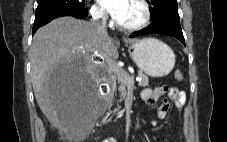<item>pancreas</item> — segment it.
<instances>
[{
    "label": "pancreas",
    "mask_w": 227,
    "mask_h": 142,
    "mask_svg": "<svg viewBox=\"0 0 227 142\" xmlns=\"http://www.w3.org/2000/svg\"><path fill=\"white\" fill-rule=\"evenodd\" d=\"M121 70V69H119ZM122 73L124 75H126L127 77L133 78L131 77L126 71L121 70ZM138 76L141 78V81L139 82L140 86H147L148 85V81L149 78L147 77L146 74H144L142 71H138ZM115 79L117 80V83L119 84L118 90H119V94H120V101L124 100L127 96V88L129 87L128 84L124 81V79H121L117 76V74L115 75Z\"/></svg>",
    "instance_id": "obj_1"
}]
</instances>
